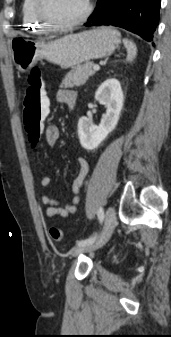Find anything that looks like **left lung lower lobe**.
I'll list each match as a JSON object with an SVG mask.
<instances>
[{
	"label": "left lung lower lobe",
	"mask_w": 171,
	"mask_h": 337,
	"mask_svg": "<svg viewBox=\"0 0 171 337\" xmlns=\"http://www.w3.org/2000/svg\"><path fill=\"white\" fill-rule=\"evenodd\" d=\"M160 5V0H98L85 26L121 27L151 42L159 21Z\"/></svg>",
	"instance_id": "left-lung-lower-lobe-1"
}]
</instances>
